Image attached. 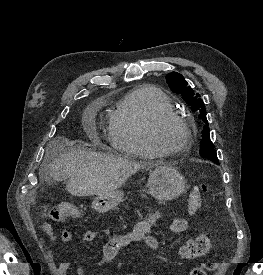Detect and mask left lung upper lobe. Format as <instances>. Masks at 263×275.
<instances>
[{
  "label": "left lung upper lobe",
  "mask_w": 263,
  "mask_h": 275,
  "mask_svg": "<svg viewBox=\"0 0 263 275\" xmlns=\"http://www.w3.org/2000/svg\"><path fill=\"white\" fill-rule=\"evenodd\" d=\"M166 81L174 93L181 94L184 101L191 107L193 111L198 113V117L205 122V126L202 134V141L200 146V156L207 158L212 162L218 164V158L216 150L214 149V144L210 140V130L208 121L206 118V109L204 102L199 98V94H195L193 89L188 86V83L184 77L177 73L172 72L166 76Z\"/></svg>",
  "instance_id": "5c2ea615"
}]
</instances>
